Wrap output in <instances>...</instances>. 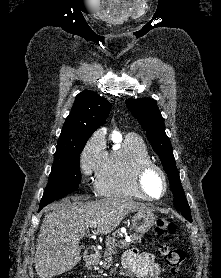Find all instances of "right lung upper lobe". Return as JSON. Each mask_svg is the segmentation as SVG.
<instances>
[{
    "instance_id": "obj_1",
    "label": "right lung upper lobe",
    "mask_w": 221,
    "mask_h": 278,
    "mask_svg": "<svg viewBox=\"0 0 221 278\" xmlns=\"http://www.w3.org/2000/svg\"><path fill=\"white\" fill-rule=\"evenodd\" d=\"M111 104L93 91L79 93L69 116L66 118L56 150L87 142L91 134L108 117Z\"/></svg>"
}]
</instances>
